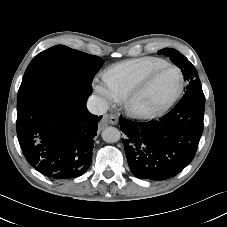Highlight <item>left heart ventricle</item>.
Returning <instances> with one entry per match:
<instances>
[{
    "instance_id": "b2bd125f",
    "label": "left heart ventricle",
    "mask_w": 227,
    "mask_h": 227,
    "mask_svg": "<svg viewBox=\"0 0 227 227\" xmlns=\"http://www.w3.org/2000/svg\"><path fill=\"white\" fill-rule=\"evenodd\" d=\"M178 86V72L175 69H166L161 72L148 89L136 99L135 106L143 110L156 109L172 97Z\"/></svg>"
}]
</instances>
